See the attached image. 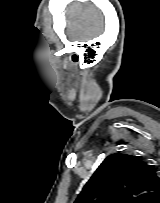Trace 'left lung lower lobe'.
<instances>
[{
  "label": "left lung lower lobe",
  "mask_w": 160,
  "mask_h": 203,
  "mask_svg": "<svg viewBox=\"0 0 160 203\" xmlns=\"http://www.w3.org/2000/svg\"><path fill=\"white\" fill-rule=\"evenodd\" d=\"M153 203H160V193L158 194L157 198L153 201Z\"/></svg>",
  "instance_id": "obj_1"
}]
</instances>
